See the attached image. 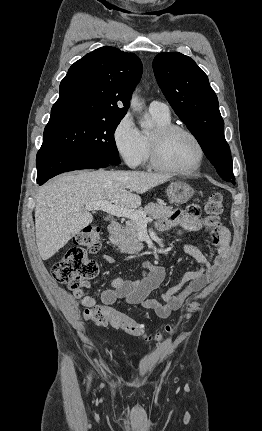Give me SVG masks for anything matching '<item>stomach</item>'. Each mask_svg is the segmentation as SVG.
I'll list each match as a JSON object with an SVG mask.
<instances>
[{
	"instance_id": "obj_1",
	"label": "stomach",
	"mask_w": 262,
	"mask_h": 431,
	"mask_svg": "<svg viewBox=\"0 0 262 431\" xmlns=\"http://www.w3.org/2000/svg\"><path fill=\"white\" fill-rule=\"evenodd\" d=\"M166 192L168 199L175 204H184L188 202L194 194L193 188L183 181L172 182L168 186Z\"/></svg>"
}]
</instances>
